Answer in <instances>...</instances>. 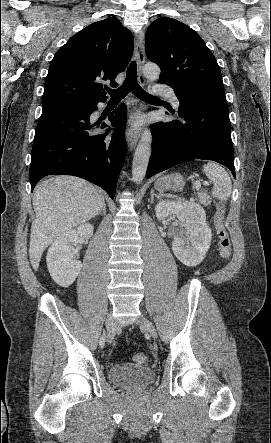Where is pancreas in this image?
Listing matches in <instances>:
<instances>
[{
  "mask_svg": "<svg viewBox=\"0 0 271 443\" xmlns=\"http://www.w3.org/2000/svg\"><path fill=\"white\" fill-rule=\"evenodd\" d=\"M197 198L199 204H203V206H210L211 198L208 196V194H205V192H198Z\"/></svg>",
  "mask_w": 271,
  "mask_h": 443,
  "instance_id": "obj_1",
  "label": "pancreas"
}]
</instances>
